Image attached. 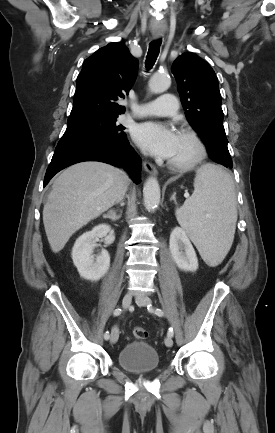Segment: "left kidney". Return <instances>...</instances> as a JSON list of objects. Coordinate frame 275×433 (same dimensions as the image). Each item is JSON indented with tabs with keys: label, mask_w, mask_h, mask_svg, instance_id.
Masks as SVG:
<instances>
[{
	"label": "left kidney",
	"mask_w": 275,
	"mask_h": 433,
	"mask_svg": "<svg viewBox=\"0 0 275 433\" xmlns=\"http://www.w3.org/2000/svg\"><path fill=\"white\" fill-rule=\"evenodd\" d=\"M169 249L178 268L184 271H196L198 269L195 250L184 229L174 228L170 235Z\"/></svg>",
	"instance_id": "left-kidney-1"
}]
</instances>
